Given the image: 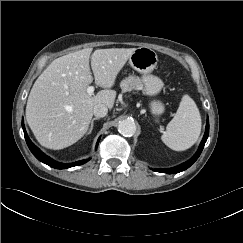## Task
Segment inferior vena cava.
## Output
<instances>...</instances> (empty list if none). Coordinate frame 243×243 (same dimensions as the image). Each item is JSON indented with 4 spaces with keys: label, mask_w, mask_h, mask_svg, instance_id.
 <instances>
[{
    "label": "inferior vena cava",
    "mask_w": 243,
    "mask_h": 243,
    "mask_svg": "<svg viewBox=\"0 0 243 243\" xmlns=\"http://www.w3.org/2000/svg\"><path fill=\"white\" fill-rule=\"evenodd\" d=\"M93 113L97 118H102L107 115L108 108L104 104H97L93 108Z\"/></svg>",
    "instance_id": "inferior-vena-cava-1"
}]
</instances>
